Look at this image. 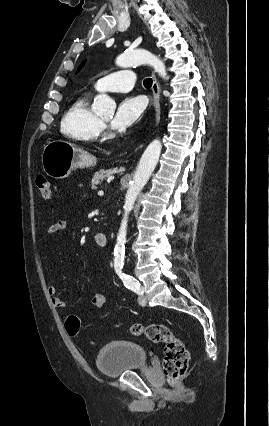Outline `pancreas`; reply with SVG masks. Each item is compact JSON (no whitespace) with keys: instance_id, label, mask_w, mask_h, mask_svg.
I'll return each instance as SVG.
<instances>
[{"instance_id":"pancreas-1","label":"pancreas","mask_w":269,"mask_h":426,"mask_svg":"<svg viewBox=\"0 0 269 426\" xmlns=\"http://www.w3.org/2000/svg\"><path fill=\"white\" fill-rule=\"evenodd\" d=\"M109 174L105 171L96 172L91 179V188L97 189V185L101 184V182L108 176Z\"/></svg>"}]
</instances>
